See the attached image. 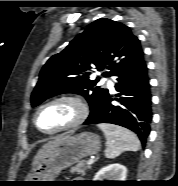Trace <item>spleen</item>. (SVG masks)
I'll return each mask as SVG.
<instances>
[{
	"instance_id": "spleen-1",
	"label": "spleen",
	"mask_w": 178,
	"mask_h": 186,
	"mask_svg": "<svg viewBox=\"0 0 178 186\" xmlns=\"http://www.w3.org/2000/svg\"><path fill=\"white\" fill-rule=\"evenodd\" d=\"M107 143L105 156L109 159L118 157L123 151H138L141 147L137 136L130 130L112 124H98Z\"/></svg>"
}]
</instances>
